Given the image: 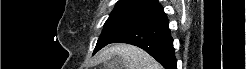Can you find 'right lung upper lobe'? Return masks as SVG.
<instances>
[{
	"mask_svg": "<svg viewBox=\"0 0 246 69\" xmlns=\"http://www.w3.org/2000/svg\"><path fill=\"white\" fill-rule=\"evenodd\" d=\"M159 6L156 0H119L109 18L142 16Z\"/></svg>",
	"mask_w": 246,
	"mask_h": 69,
	"instance_id": "1",
	"label": "right lung upper lobe"
}]
</instances>
